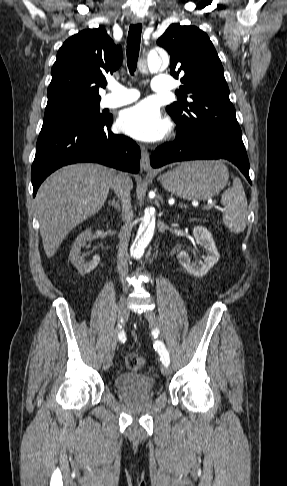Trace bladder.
<instances>
[{
  "instance_id": "31cf9c89",
  "label": "bladder",
  "mask_w": 287,
  "mask_h": 486,
  "mask_svg": "<svg viewBox=\"0 0 287 486\" xmlns=\"http://www.w3.org/2000/svg\"><path fill=\"white\" fill-rule=\"evenodd\" d=\"M115 387L123 392L149 393L154 389L155 382L142 373H123L115 379Z\"/></svg>"
}]
</instances>
